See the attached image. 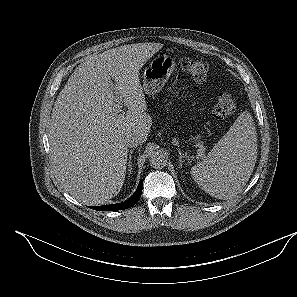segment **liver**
Returning a JSON list of instances; mask_svg holds the SVG:
<instances>
[{"label": "liver", "instance_id": "6515ba94", "mask_svg": "<svg viewBox=\"0 0 297 297\" xmlns=\"http://www.w3.org/2000/svg\"><path fill=\"white\" fill-rule=\"evenodd\" d=\"M162 47L137 43L92 56L57 96L48 127L51 161L62 187L79 202L102 205L120 192L128 153L124 140L136 134L145 142L152 124L139 70ZM115 95L126 113L115 109Z\"/></svg>", "mask_w": 297, "mask_h": 297}]
</instances>
